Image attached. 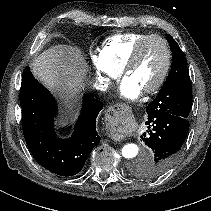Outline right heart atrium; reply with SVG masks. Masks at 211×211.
<instances>
[{"label":"right heart atrium","instance_id":"d8ad5b80","mask_svg":"<svg viewBox=\"0 0 211 211\" xmlns=\"http://www.w3.org/2000/svg\"><path fill=\"white\" fill-rule=\"evenodd\" d=\"M90 60L96 73V78L99 84L107 87L109 83L116 79L120 74V69L110 65L100 52H92Z\"/></svg>","mask_w":211,"mask_h":211}]
</instances>
